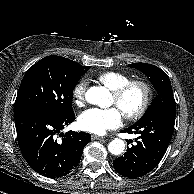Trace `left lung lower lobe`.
<instances>
[{"instance_id": "0a47b994", "label": "left lung lower lobe", "mask_w": 194, "mask_h": 194, "mask_svg": "<svg viewBox=\"0 0 194 194\" xmlns=\"http://www.w3.org/2000/svg\"><path fill=\"white\" fill-rule=\"evenodd\" d=\"M176 106L154 109L135 124L123 130L138 134L137 144L113 161L115 170L128 178L142 177L153 170L163 158L174 130Z\"/></svg>"}]
</instances>
